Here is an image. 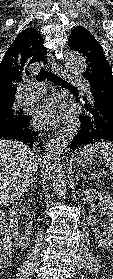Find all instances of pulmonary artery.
Masks as SVG:
<instances>
[{
  "label": "pulmonary artery",
  "mask_w": 113,
  "mask_h": 279,
  "mask_svg": "<svg viewBox=\"0 0 113 279\" xmlns=\"http://www.w3.org/2000/svg\"><path fill=\"white\" fill-rule=\"evenodd\" d=\"M66 78L70 83L74 85H80L84 89H88L86 82L81 77L76 75H67ZM44 90V86L39 83L26 84L24 86V92L21 95L20 100L23 102H31L36 98L38 94L42 93Z\"/></svg>",
  "instance_id": "obj_1"
}]
</instances>
